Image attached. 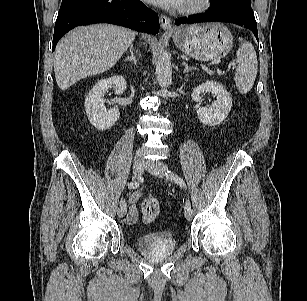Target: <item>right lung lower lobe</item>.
<instances>
[{"label":"right lung lower lobe","mask_w":307,"mask_h":301,"mask_svg":"<svg viewBox=\"0 0 307 301\" xmlns=\"http://www.w3.org/2000/svg\"><path fill=\"white\" fill-rule=\"evenodd\" d=\"M93 23H112L153 35L159 31L158 15L139 0H62L52 51L69 30Z\"/></svg>","instance_id":"1"}]
</instances>
